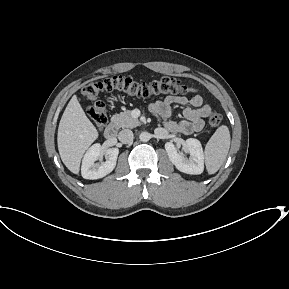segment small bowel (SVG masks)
Segmentation results:
<instances>
[{"label":"small bowel","mask_w":289,"mask_h":289,"mask_svg":"<svg viewBox=\"0 0 289 289\" xmlns=\"http://www.w3.org/2000/svg\"><path fill=\"white\" fill-rule=\"evenodd\" d=\"M192 94L190 98L180 95H170L163 100L156 101L150 105V111L160 119L164 120L166 128L173 133L192 134L199 132L204 126V119L208 116L211 108L205 104L202 96L194 88L189 89ZM184 106L183 120L171 119L172 106Z\"/></svg>","instance_id":"small-bowel-1"}]
</instances>
